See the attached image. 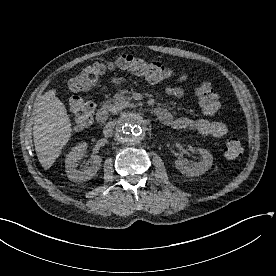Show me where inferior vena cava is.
Listing matches in <instances>:
<instances>
[{"label": "inferior vena cava", "mask_w": 276, "mask_h": 276, "mask_svg": "<svg viewBox=\"0 0 276 276\" xmlns=\"http://www.w3.org/2000/svg\"><path fill=\"white\" fill-rule=\"evenodd\" d=\"M115 124H116V123H115L114 121L109 122V123L105 126L103 133H104L105 135H107V136L112 135Z\"/></svg>", "instance_id": "inferior-vena-cava-1"}]
</instances>
